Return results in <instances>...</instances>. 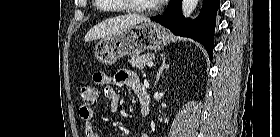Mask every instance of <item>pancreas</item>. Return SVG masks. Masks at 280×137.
<instances>
[{"instance_id": "cf45deb5", "label": "pancreas", "mask_w": 280, "mask_h": 137, "mask_svg": "<svg viewBox=\"0 0 280 137\" xmlns=\"http://www.w3.org/2000/svg\"><path fill=\"white\" fill-rule=\"evenodd\" d=\"M152 59H154V55L152 54L135 55L131 57L129 62L131 63L132 67L142 70L147 62Z\"/></svg>"}]
</instances>
